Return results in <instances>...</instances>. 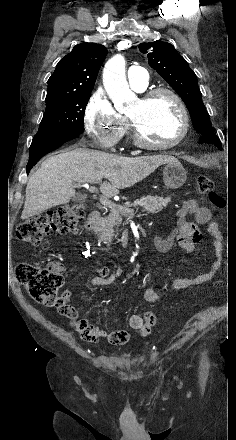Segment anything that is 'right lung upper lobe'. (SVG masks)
Listing matches in <instances>:
<instances>
[{
	"mask_svg": "<svg viewBox=\"0 0 236 440\" xmlns=\"http://www.w3.org/2000/svg\"><path fill=\"white\" fill-rule=\"evenodd\" d=\"M106 55L103 45L77 44L49 78L46 103L91 93Z\"/></svg>",
	"mask_w": 236,
	"mask_h": 440,
	"instance_id": "right-lung-upper-lobe-1",
	"label": "right lung upper lobe"
}]
</instances>
